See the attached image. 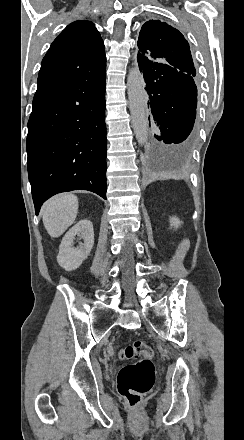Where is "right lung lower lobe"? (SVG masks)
<instances>
[{"label": "right lung lower lobe", "instance_id": "right-lung-lower-lobe-1", "mask_svg": "<svg viewBox=\"0 0 244 440\" xmlns=\"http://www.w3.org/2000/svg\"><path fill=\"white\" fill-rule=\"evenodd\" d=\"M106 64L38 83L28 121V176L35 211L65 191L106 199Z\"/></svg>", "mask_w": 244, "mask_h": 440}]
</instances>
